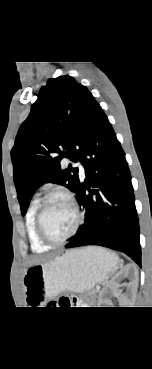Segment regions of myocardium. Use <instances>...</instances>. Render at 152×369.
Wrapping results in <instances>:
<instances>
[{
    "label": "myocardium",
    "instance_id": "f54148a6",
    "mask_svg": "<svg viewBox=\"0 0 152 369\" xmlns=\"http://www.w3.org/2000/svg\"><path fill=\"white\" fill-rule=\"evenodd\" d=\"M56 197H61V198L66 199L72 206L75 216H76L75 225L72 231L68 235L60 239L51 238L47 234L44 228V224H43V217H44L45 209L48 203L50 202V200ZM82 222H83V214L75 198L69 192L62 191V190L49 192L41 199L39 206H38L37 213H36V218H35L37 234L39 238L41 239V241L49 246L61 245L65 243L66 241H68L69 239H71L78 232Z\"/></svg>",
    "mask_w": 152,
    "mask_h": 369
}]
</instances>
